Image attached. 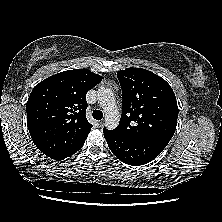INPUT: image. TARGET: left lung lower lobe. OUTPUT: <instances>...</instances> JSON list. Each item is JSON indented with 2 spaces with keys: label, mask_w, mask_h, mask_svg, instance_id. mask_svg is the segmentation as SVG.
<instances>
[{
  "label": "left lung lower lobe",
  "mask_w": 222,
  "mask_h": 222,
  "mask_svg": "<svg viewBox=\"0 0 222 222\" xmlns=\"http://www.w3.org/2000/svg\"><path fill=\"white\" fill-rule=\"evenodd\" d=\"M110 150L122 162L139 166L155 159L168 142L156 139H131L103 129Z\"/></svg>",
  "instance_id": "left-lung-lower-lobe-1"
}]
</instances>
